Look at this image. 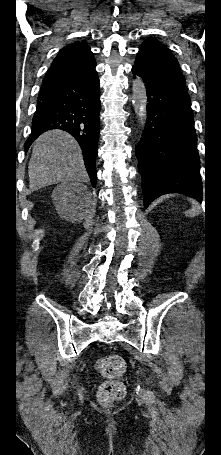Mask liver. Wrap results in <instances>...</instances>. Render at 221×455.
I'll list each match as a JSON object with an SVG mask.
<instances>
[{"instance_id":"obj_1","label":"liver","mask_w":221,"mask_h":455,"mask_svg":"<svg viewBox=\"0 0 221 455\" xmlns=\"http://www.w3.org/2000/svg\"><path fill=\"white\" fill-rule=\"evenodd\" d=\"M28 176L31 191L64 181L88 179L78 143L62 130L47 131L35 141Z\"/></svg>"}]
</instances>
